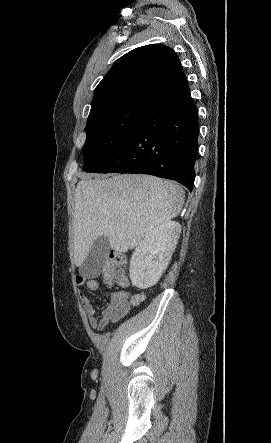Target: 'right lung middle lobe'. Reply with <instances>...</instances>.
I'll return each mask as SVG.
<instances>
[{"label":"right lung middle lobe","mask_w":271,"mask_h":443,"mask_svg":"<svg viewBox=\"0 0 271 443\" xmlns=\"http://www.w3.org/2000/svg\"><path fill=\"white\" fill-rule=\"evenodd\" d=\"M151 104L143 99H123L95 107L86 125L84 170L93 172L101 167Z\"/></svg>","instance_id":"dd1d6c3e"}]
</instances>
